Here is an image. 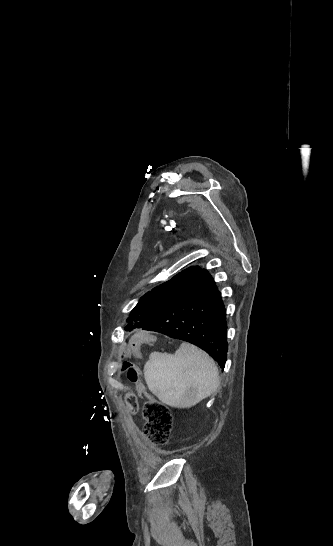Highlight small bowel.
I'll return each mask as SVG.
<instances>
[{"mask_svg": "<svg viewBox=\"0 0 333 546\" xmlns=\"http://www.w3.org/2000/svg\"><path fill=\"white\" fill-rule=\"evenodd\" d=\"M155 337H156L155 333L151 331L150 332L139 331L136 333L133 339V345L131 350V353H132L131 356L134 361H141L143 359L144 355L141 348L143 346L144 347L154 346L156 344L154 342ZM129 407L130 409H132V412L130 413L132 416L139 412L138 405L136 403L130 404Z\"/></svg>", "mask_w": 333, "mask_h": 546, "instance_id": "obj_1", "label": "small bowel"}]
</instances>
